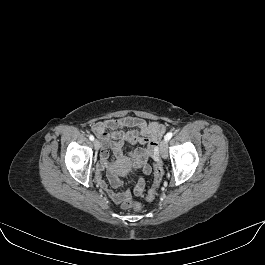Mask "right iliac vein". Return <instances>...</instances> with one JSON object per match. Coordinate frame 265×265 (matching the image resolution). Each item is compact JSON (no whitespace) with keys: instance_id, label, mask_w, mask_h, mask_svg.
Masks as SVG:
<instances>
[{"instance_id":"obj_1","label":"right iliac vein","mask_w":265,"mask_h":265,"mask_svg":"<svg viewBox=\"0 0 265 265\" xmlns=\"http://www.w3.org/2000/svg\"><path fill=\"white\" fill-rule=\"evenodd\" d=\"M93 145H94L95 150H99V148H100V142H99V140L95 139L93 141Z\"/></svg>"}]
</instances>
